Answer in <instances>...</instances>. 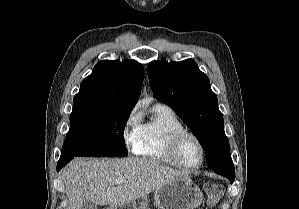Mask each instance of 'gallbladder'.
I'll list each match as a JSON object with an SVG mask.
<instances>
[{"mask_svg":"<svg viewBox=\"0 0 299 209\" xmlns=\"http://www.w3.org/2000/svg\"><path fill=\"white\" fill-rule=\"evenodd\" d=\"M81 209H98V208L96 204L86 200L83 202Z\"/></svg>","mask_w":299,"mask_h":209,"instance_id":"obj_1","label":"gallbladder"}]
</instances>
